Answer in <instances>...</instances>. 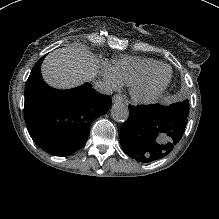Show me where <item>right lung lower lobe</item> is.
Listing matches in <instances>:
<instances>
[{"instance_id":"1","label":"right lung lower lobe","mask_w":219,"mask_h":219,"mask_svg":"<svg viewBox=\"0 0 219 219\" xmlns=\"http://www.w3.org/2000/svg\"><path fill=\"white\" fill-rule=\"evenodd\" d=\"M42 57L25 86L24 115L30 136L44 151L69 155L87 141L91 123L111 106V97L86 83L70 90H56L41 77Z\"/></svg>"}]
</instances>
